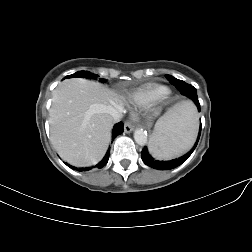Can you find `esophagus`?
<instances>
[{
	"instance_id": "esophagus-1",
	"label": "esophagus",
	"mask_w": 252,
	"mask_h": 252,
	"mask_svg": "<svg viewBox=\"0 0 252 252\" xmlns=\"http://www.w3.org/2000/svg\"><path fill=\"white\" fill-rule=\"evenodd\" d=\"M133 129H134L133 124H132L130 121H126V122H125V125H124V131H125L126 133H130V132L133 131Z\"/></svg>"
}]
</instances>
